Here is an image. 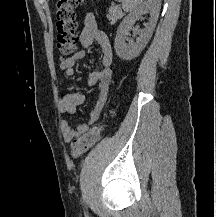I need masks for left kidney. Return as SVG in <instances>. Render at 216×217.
<instances>
[{
  "mask_svg": "<svg viewBox=\"0 0 216 217\" xmlns=\"http://www.w3.org/2000/svg\"><path fill=\"white\" fill-rule=\"evenodd\" d=\"M161 0H147L141 4L137 9L128 14L117 30L114 49L117 56L124 60H132L137 57L141 51L145 48L150 40L153 30L156 26L159 11L161 7ZM150 13L149 22L145 24V28L138 30L139 37L136 42H125L126 37L129 35V31L133 29V25L136 20L142 17L143 14Z\"/></svg>",
  "mask_w": 216,
  "mask_h": 217,
  "instance_id": "left-kidney-1",
  "label": "left kidney"
}]
</instances>
